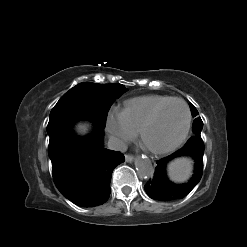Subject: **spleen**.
<instances>
[{
	"label": "spleen",
	"instance_id": "obj_1",
	"mask_svg": "<svg viewBox=\"0 0 247 247\" xmlns=\"http://www.w3.org/2000/svg\"><path fill=\"white\" fill-rule=\"evenodd\" d=\"M193 162L189 158H178L170 162L167 172L170 180L178 183L187 181L192 175Z\"/></svg>",
	"mask_w": 247,
	"mask_h": 247
}]
</instances>
